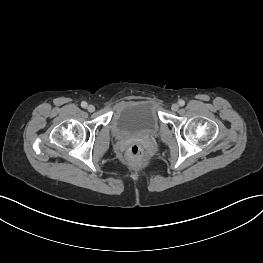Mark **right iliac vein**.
Returning a JSON list of instances; mask_svg holds the SVG:
<instances>
[{"label": "right iliac vein", "mask_w": 263, "mask_h": 263, "mask_svg": "<svg viewBox=\"0 0 263 263\" xmlns=\"http://www.w3.org/2000/svg\"><path fill=\"white\" fill-rule=\"evenodd\" d=\"M87 110H88L89 112H94V111H95V107H94L93 105H88V106H87Z\"/></svg>", "instance_id": "obj_1"}]
</instances>
